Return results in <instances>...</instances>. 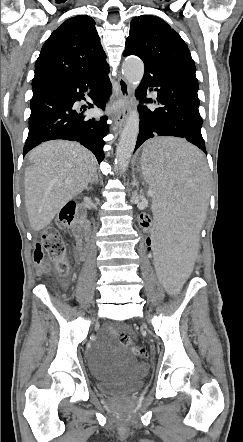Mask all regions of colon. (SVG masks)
I'll list each match as a JSON object with an SVG mask.
<instances>
[{
	"instance_id": "colon-1",
	"label": "colon",
	"mask_w": 243,
	"mask_h": 442,
	"mask_svg": "<svg viewBox=\"0 0 243 442\" xmlns=\"http://www.w3.org/2000/svg\"><path fill=\"white\" fill-rule=\"evenodd\" d=\"M76 206L73 203H66L64 204L59 212V216L57 219V225L60 228H68L72 225L74 221ZM136 224L143 226V251L146 254L151 253L152 247H153V238L155 231L152 229V225L156 224V217L155 216H148L145 218L144 216H137L136 217ZM67 246L65 242L63 241L60 233L55 227H48L45 229L41 242L37 243L35 245V250L33 253V259L36 264V266L44 270L47 268V261L46 256H48L49 259H51L57 268V271L60 275H66L68 272V261H67ZM193 256H195V269L201 270L202 264L205 260L204 255L199 254L196 255V253H193ZM120 343L132 350L134 355L142 359V362L144 365H152L153 364V357L148 356L147 349L144 346H136L133 343V340L127 333H121L119 335Z\"/></svg>"
}]
</instances>
